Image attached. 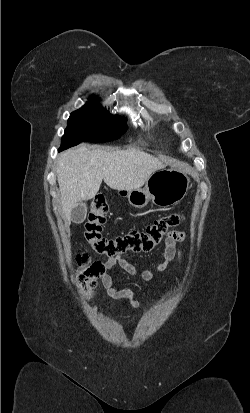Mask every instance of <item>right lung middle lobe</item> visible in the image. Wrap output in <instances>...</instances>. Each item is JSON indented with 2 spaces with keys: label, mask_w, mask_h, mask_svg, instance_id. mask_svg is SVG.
<instances>
[{
  "label": "right lung middle lobe",
  "mask_w": 250,
  "mask_h": 413,
  "mask_svg": "<svg viewBox=\"0 0 250 413\" xmlns=\"http://www.w3.org/2000/svg\"><path fill=\"white\" fill-rule=\"evenodd\" d=\"M125 123L126 118L111 115L91 97L86 105L71 113L59 151L82 141L100 143L118 139L127 130Z\"/></svg>",
  "instance_id": "dd1d6c3e"
}]
</instances>
